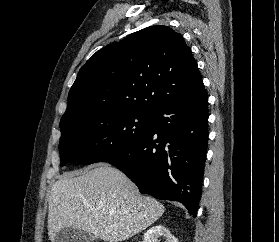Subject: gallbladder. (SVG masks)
<instances>
[{
  "label": "gallbladder",
  "instance_id": "obj_1",
  "mask_svg": "<svg viewBox=\"0 0 279 242\" xmlns=\"http://www.w3.org/2000/svg\"><path fill=\"white\" fill-rule=\"evenodd\" d=\"M94 235L78 228H65L57 233L55 242H92Z\"/></svg>",
  "mask_w": 279,
  "mask_h": 242
}]
</instances>
